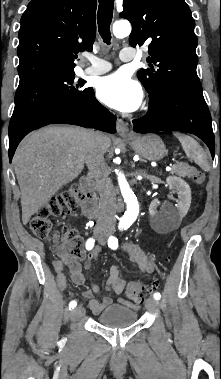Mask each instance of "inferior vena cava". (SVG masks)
<instances>
[{"mask_svg":"<svg viewBox=\"0 0 221 379\" xmlns=\"http://www.w3.org/2000/svg\"><path fill=\"white\" fill-rule=\"evenodd\" d=\"M85 163L89 176L95 181L100 194L98 229L114 230L116 224V193L112 180L108 178V167L99 144V133L89 131L85 151Z\"/></svg>","mask_w":221,"mask_h":379,"instance_id":"1","label":"inferior vena cava"}]
</instances>
